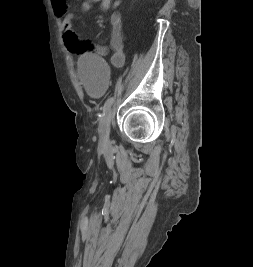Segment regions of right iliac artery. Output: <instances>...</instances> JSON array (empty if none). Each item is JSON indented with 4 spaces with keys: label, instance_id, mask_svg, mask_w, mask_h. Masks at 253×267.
Returning <instances> with one entry per match:
<instances>
[{
    "label": "right iliac artery",
    "instance_id": "right-iliac-artery-1",
    "mask_svg": "<svg viewBox=\"0 0 253 267\" xmlns=\"http://www.w3.org/2000/svg\"><path fill=\"white\" fill-rule=\"evenodd\" d=\"M114 102V97H110L106 100L104 106H103V115H105V113L110 109V107L112 106Z\"/></svg>",
    "mask_w": 253,
    "mask_h": 267
}]
</instances>
